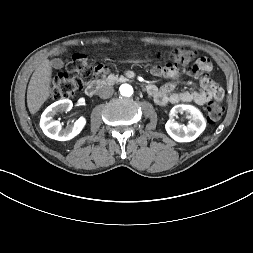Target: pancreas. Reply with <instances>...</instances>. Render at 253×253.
I'll use <instances>...</instances> for the list:
<instances>
[{"label": "pancreas", "instance_id": "obj_1", "mask_svg": "<svg viewBox=\"0 0 253 253\" xmlns=\"http://www.w3.org/2000/svg\"><path fill=\"white\" fill-rule=\"evenodd\" d=\"M118 79V77L117 76H111V77H109V78H106V80L105 81H110V82H113L114 80H117ZM104 82V81H103Z\"/></svg>", "mask_w": 253, "mask_h": 253}]
</instances>
